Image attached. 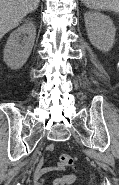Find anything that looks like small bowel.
<instances>
[{"mask_svg": "<svg viewBox=\"0 0 119 185\" xmlns=\"http://www.w3.org/2000/svg\"><path fill=\"white\" fill-rule=\"evenodd\" d=\"M47 150L49 152L54 151V146L49 145L47 147ZM64 169L60 164H57L53 167H43L42 166V160L39 161L37 167L35 168L33 172V181L34 185H45L46 180L45 176L48 174H52L55 176V179L53 181V185H66L71 184L75 181L76 177L73 174H61L60 172Z\"/></svg>", "mask_w": 119, "mask_h": 185, "instance_id": "1", "label": "small bowel"}]
</instances>
